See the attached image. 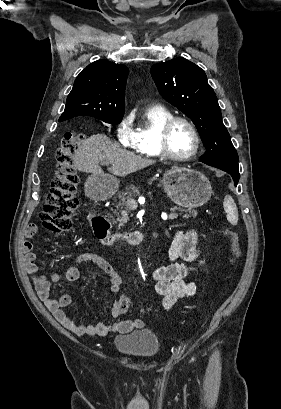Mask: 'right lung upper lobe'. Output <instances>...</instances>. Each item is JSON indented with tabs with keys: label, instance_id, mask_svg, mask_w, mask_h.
Instances as JSON below:
<instances>
[{
	"label": "right lung upper lobe",
	"instance_id": "obj_1",
	"mask_svg": "<svg viewBox=\"0 0 281 409\" xmlns=\"http://www.w3.org/2000/svg\"><path fill=\"white\" fill-rule=\"evenodd\" d=\"M128 68L106 60L88 65L76 78L59 122L75 116L122 118Z\"/></svg>",
	"mask_w": 281,
	"mask_h": 409
}]
</instances>
